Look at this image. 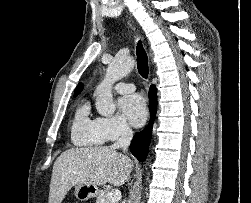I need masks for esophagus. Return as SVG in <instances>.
Segmentation results:
<instances>
[{
  "label": "esophagus",
  "mask_w": 251,
  "mask_h": 203,
  "mask_svg": "<svg viewBox=\"0 0 251 203\" xmlns=\"http://www.w3.org/2000/svg\"><path fill=\"white\" fill-rule=\"evenodd\" d=\"M150 119V111L148 112V120Z\"/></svg>",
  "instance_id": "esophagus-1"
}]
</instances>
